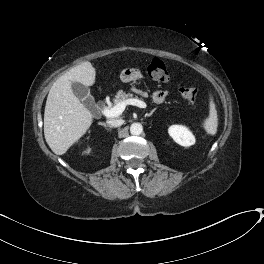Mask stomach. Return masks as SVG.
I'll return each instance as SVG.
<instances>
[{"instance_id": "1", "label": "stomach", "mask_w": 264, "mask_h": 264, "mask_svg": "<svg viewBox=\"0 0 264 264\" xmlns=\"http://www.w3.org/2000/svg\"><path fill=\"white\" fill-rule=\"evenodd\" d=\"M142 77V74L137 68H125L121 71L120 80L124 83L135 81Z\"/></svg>"}]
</instances>
